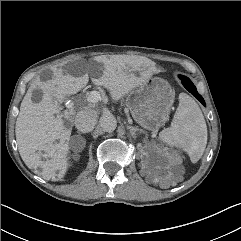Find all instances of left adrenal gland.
Wrapping results in <instances>:
<instances>
[{"label":"left adrenal gland","mask_w":241,"mask_h":241,"mask_svg":"<svg viewBox=\"0 0 241 241\" xmlns=\"http://www.w3.org/2000/svg\"><path fill=\"white\" fill-rule=\"evenodd\" d=\"M127 129L130 130L131 135L136 138L135 133L139 131L138 128H135L133 126L127 125Z\"/></svg>","instance_id":"1"}]
</instances>
